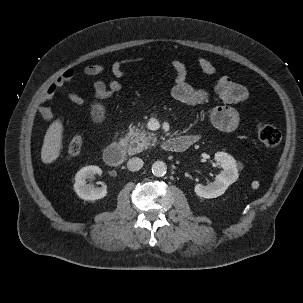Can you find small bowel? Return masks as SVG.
<instances>
[{
	"mask_svg": "<svg viewBox=\"0 0 303 303\" xmlns=\"http://www.w3.org/2000/svg\"><path fill=\"white\" fill-rule=\"evenodd\" d=\"M143 57H130L115 61L110 69H106L100 64H90L85 66L84 73L88 76H96L104 72L110 74L108 82L103 80H95L93 82L94 97L101 98L105 92L117 93L122 89L119 81L120 78L126 76L129 72L125 69L128 64H139L143 62ZM199 69L207 75H213L217 72V67L214 63L205 57L197 59ZM173 69V78L171 86V96L178 102L195 105L207 102L212 95L222 102V105L215 106L209 109L206 113L208 122L224 132H232L239 126L240 115L237 110L231 107V104L245 101L248 96L247 88L235 82L230 76H221L212 92L193 86L188 81V69L185 63L179 59H174L171 62ZM75 78V72L72 69L66 70L60 75L43 93L39 103V113L46 121H53L54 115L48 105L58 93L64 94L71 102L83 105L85 100L78 94L66 91L65 88ZM195 141L199 139V135H187Z\"/></svg>",
	"mask_w": 303,
	"mask_h": 303,
	"instance_id": "c3829d8e",
	"label": "small bowel"
}]
</instances>
